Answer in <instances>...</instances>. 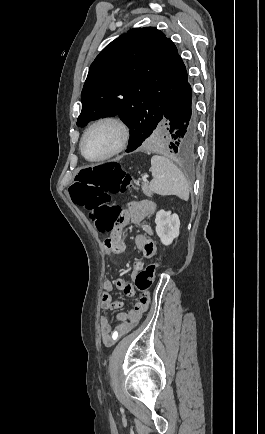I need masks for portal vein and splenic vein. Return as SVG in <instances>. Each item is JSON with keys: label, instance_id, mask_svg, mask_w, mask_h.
Returning <instances> with one entry per match:
<instances>
[{"label": "portal vein and splenic vein", "instance_id": "1", "mask_svg": "<svg viewBox=\"0 0 265 434\" xmlns=\"http://www.w3.org/2000/svg\"><path fill=\"white\" fill-rule=\"evenodd\" d=\"M147 178H149V176H142V182H148Z\"/></svg>", "mask_w": 265, "mask_h": 434}]
</instances>
